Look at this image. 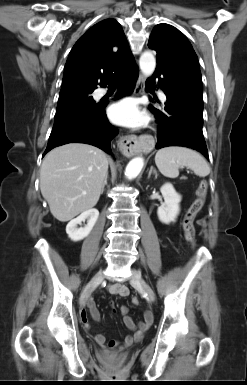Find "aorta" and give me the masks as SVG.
<instances>
[{
	"instance_id": "762f6f07",
	"label": "aorta",
	"mask_w": 247,
	"mask_h": 385,
	"mask_svg": "<svg viewBox=\"0 0 247 385\" xmlns=\"http://www.w3.org/2000/svg\"><path fill=\"white\" fill-rule=\"evenodd\" d=\"M139 65L142 73L145 76H150L153 74L156 67V59L150 51H145L142 53L139 59ZM144 165V160L142 157L133 158L127 165L125 170V175L128 179H133L138 176L141 172Z\"/></svg>"
}]
</instances>
